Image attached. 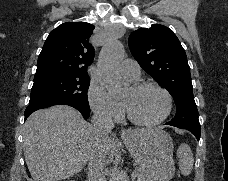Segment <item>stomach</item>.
Returning <instances> with one entry per match:
<instances>
[{"label":"stomach","instance_id":"obj_1","mask_svg":"<svg viewBox=\"0 0 228 181\" xmlns=\"http://www.w3.org/2000/svg\"><path fill=\"white\" fill-rule=\"evenodd\" d=\"M131 157L138 161L146 173L143 181H171L175 173L173 141L165 131L135 129L123 137Z\"/></svg>","mask_w":228,"mask_h":181}]
</instances>
